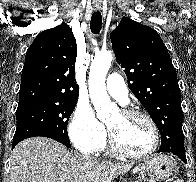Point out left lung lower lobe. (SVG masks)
I'll return each mask as SVG.
<instances>
[{
	"label": "left lung lower lobe",
	"instance_id": "obj_1",
	"mask_svg": "<svg viewBox=\"0 0 196 182\" xmlns=\"http://www.w3.org/2000/svg\"><path fill=\"white\" fill-rule=\"evenodd\" d=\"M158 152H162V151L159 150ZM169 153H172L174 155H177L185 164L187 163L186 155H185V150H181V151H170Z\"/></svg>",
	"mask_w": 196,
	"mask_h": 182
}]
</instances>
